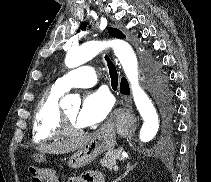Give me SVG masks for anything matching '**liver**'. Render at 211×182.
<instances>
[{
  "instance_id": "obj_1",
  "label": "liver",
  "mask_w": 211,
  "mask_h": 182,
  "mask_svg": "<svg viewBox=\"0 0 211 182\" xmlns=\"http://www.w3.org/2000/svg\"><path fill=\"white\" fill-rule=\"evenodd\" d=\"M92 135L82 136L67 141L42 144L36 147V150L49 154H64L82 148Z\"/></svg>"
}]
</instances>
